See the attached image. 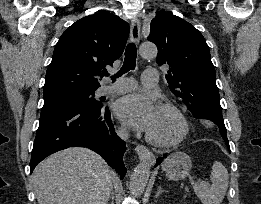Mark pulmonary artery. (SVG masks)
<instances>
[{
    "label": "pulmonary artery",
    "instance_id": "pulmonary-artery-1",
    "mask_svg": "<svg viewBox=\"0 0 261 204\" xmlns=\"http://www.w3.org/2000/svg\"><path fill=\"white\" fill-rule=\"evenodd\" d=\"M142 82L147 86H154L158 82V71L154 68L146 69L142 74ZM136 87L133 78H119L113 85H103L100 95H118L129 92Z\"/></svg>",
    "mask_w": 261,
    "mask_h": 204
}]
</instances>
